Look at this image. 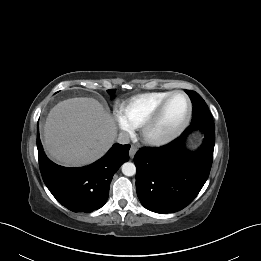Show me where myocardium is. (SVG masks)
<instances>
[{"label": "myocardium", "mask_w": 261, "mask_h": 261, "mask_svg": "<svg viewBox=\"0 0 261 261\" xmlns=\"http://www.w3.org/2000/svg\"><path fill=\"white\" fill-rule=\"evenodd\" d=\"M182 95L187 101V115L184 121L172 132L167 134H157L155 129L172 97ZM193 113V105L190 97L181 90L170 92L164 100L159 104L150 118L141 127L142 141L151 146L164 145L179 137L189 126Z\"/></svg>", "instance_id": "1"}]
</instances>
